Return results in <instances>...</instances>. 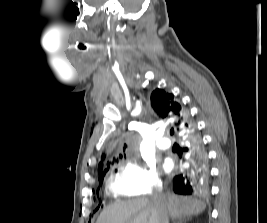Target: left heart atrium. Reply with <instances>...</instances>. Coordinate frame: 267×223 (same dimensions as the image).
<instances>
[{"mask_svg":"<svg viewBox=\"0 0 267 223\" xmlns=\"http://www.w3.org/2000/svg\"><path fill=\"white\" fill-rule=\"evenodd\" d=\"M171 168H172V163H171V162H166V163L164 164V169H165L166 171H169Z\"/></svg>","mask_w":267,"mask_h":223,"instance_id":"39dd6f15","label":"left heart atrium"}]
</instances>
